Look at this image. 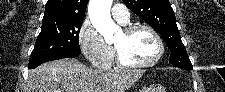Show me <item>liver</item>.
I'll return each mask as SVG.
<instances>
[{
	"label": "liver",
	"instance_id": "6515ba94",
	"mask_svg": "<svg viewBox=\"0 0 225 92\" xmlns=\"http://www.w3.org/2000/svg\"><path fill=\"white\" fill-rule=\"evenodd\" d=\"M143 70L91 69L77 59L44 63L29 72L25 92H125Z\"/></svg>",
	"mask_w": 225,
	"mask_h": 92
}]
</instances>
